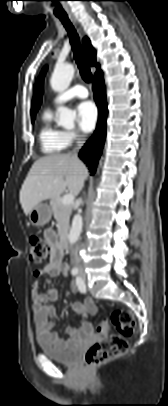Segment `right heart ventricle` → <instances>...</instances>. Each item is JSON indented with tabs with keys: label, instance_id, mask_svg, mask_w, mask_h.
I'll list each match as a JSON object with an SVG mask.
<instances>
[{
	"label": "right heart ventricle",
	"instance_id": "right-heart-ventricle-1",
	"mask_svg": "<svg viewBox=\"0 0 168 406\" xmlns=\"http://www.w3.org/2000/svg\"><path fill=\"white\" fill-rule=\"evenodd\" d=\"M42 125L39 132L41 149L46 154H56L65 150L69 143L65 131L52 122V112L47 109L42 114Z\"/></svg>",
	"mask_w": 168,
	"mask_h": 406
}]
</instances>
